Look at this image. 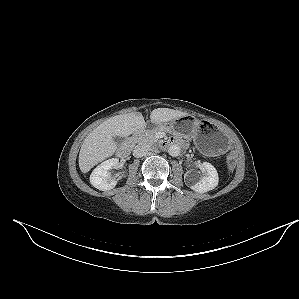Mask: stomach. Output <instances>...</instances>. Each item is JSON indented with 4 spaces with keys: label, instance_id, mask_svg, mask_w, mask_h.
Instances as JSON below:
<instances>
[{
    "label": "stomach",
    "instance_id": "1",
    "mask_svg": "<svg viewBox=\"0 0 299 299\" xmlns=\"http://www.w3.org/2000/svg\"><path fill=\"white\" fill-rule=\"evenodd\" d=\"M161 126L190 134L194 144L204 153L218 154L224 150L227 137L217 125L188 116L162 123Z\"/></svg>",
    "mask_w": 299,
    "mask_h": 299
}]
</instances>
